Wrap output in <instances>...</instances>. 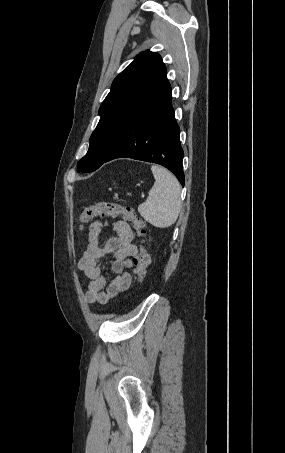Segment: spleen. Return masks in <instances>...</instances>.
Masks as SVG:
<instances>
[{
	"mask_svg": "<svg viewBox=\"0 0 285 453\" xmlns=\"http://www.w3.org/2000/svg\"><path fill=\"white\" fill-rule=\"evenodd\" d=\"M155 182L145 202L138 206L140 215L157 228L174 224L181 210V187L177 178L166 168L153 165Z\"/></svg>",
	"mask_w": 285,
	"mask_h": 453,
	"instance_id": "spleen-1",
	"label": "spleen"
}]
</instances>
